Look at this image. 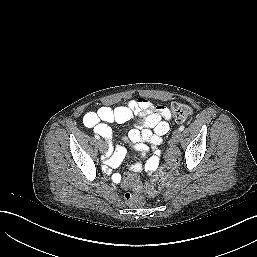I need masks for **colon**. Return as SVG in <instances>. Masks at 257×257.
I'll return each mask as SVG.
<instances>
[{
	"mask_svg": "<svg viewBox=\"0 0 257 257\" xmlns=\"http://www.w3.org/2000/svg\"><path fill=\"white\" fill-rule=\"evenodd\" d=\"M171 113L175 121L182 123L191 119L193 109L189 105L175 102L171 105ZM177 164L178 158L172 151H169L167 154L166 164L160 168L156 175L144 187L138 182L135 175H127L124 179V184L133 187L136 196L133 197L132 195L127 194L126 199L136 203H141L142 192L145 191L149 195L159 193L164 186L165 180L170 176Z\"/></svg>",
	"mask_w": 257,
	"mask_h": 257,
	"instance_id": "obj_1",
	"label": "colon"
}]
</instances>
